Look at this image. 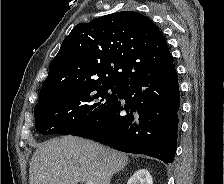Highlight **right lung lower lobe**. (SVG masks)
I'll return each instance as SVG.
<instances>
[{
  "label": "right lung lower lobe",
  "instance_id": "1",
  "mask_svg": "<svg viewBox=\"0 0 224 184\" xmlns=\"http://www.w3.org/2000/svg\"><path fill=\"white\" fill-rule=\"evenodd\" d=\"M179 107L178 76L172 68L125 82L118 99L101 116L71 135L172 163Z\"/></svg>",
  "mask_w": 224,
  "mask_h": 184
}]
</instances>
